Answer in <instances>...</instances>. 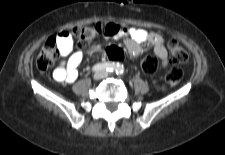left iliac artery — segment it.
Wrapping results in <instances>:
<instances>
[{"mask_svg": "<svg viewBox=\"0 0 225 155\" xmlns=\"http://www.w3.org/2000/svg\"><path fill=\"white\" fill-rule=\"evenodd\" d=\"M115 72H116L117 75H121L124 72L123 65L117 64Z\"/></svg>", "mask_w": 225, "mask_h": 155, "instance_id": "obj_1", "label": "left iliac artery"}]
</instances>
